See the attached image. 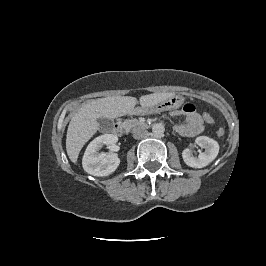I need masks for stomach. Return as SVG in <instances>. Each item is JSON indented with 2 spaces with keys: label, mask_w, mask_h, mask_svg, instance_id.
I'll list each match as a JSON object with an SVG mask.
<instances>
[{
  "label": "stomach",
  "mask_w": 266,
  "mask_h": 266,
  "mask_svg": "<svg viewBox=\"0 0 266 266\" xmlns=\"http://www.w3.org/2000/svg\"><path fill=\"white\" fill-rule=\"evenodd\" d=\"M173 99H178L177 101H181L179 97H171L163 102L151 105V106H142V112L143 113H160L165 110H169L171 108V105H168V103L172 104Z\"/></svg>",
  "instance_id": "stomach-1"
}]
</instances>
